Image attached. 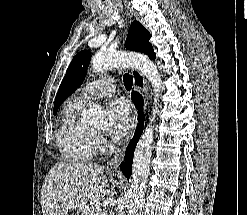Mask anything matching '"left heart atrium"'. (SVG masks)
<instances>
[{
  "label": "left heart atrium",
  "mask_w": 247,
  "mask_h": 215,
  "mask_svg": "<svg viewBox=\"0 0 247 215\" xmlns=\"http://www.w3.org/2000/svg\"><path fill=\"white\" fill-rule=\"evenodd\" d=\"M130 107L123 100L111 102L106 109V131L115 139L123 137L130 127Z\"/></svg>",
  "instance_id": "39dd6f15"
}]
</instances>
